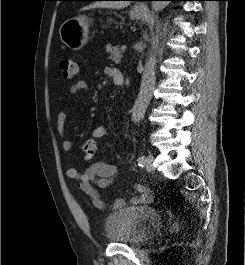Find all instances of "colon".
Listing matches in <instances>:
<instances>
[{
    "mask_svg": "<svg viewBox=\"0 0 245 265\" xmlns=\"http://www.w3.org/2000/svg\"><path fill=\"white\" fill-rule=\"evenodd\" d=\"M60 69L63 75L68 79H73L77 74V64L70 58H64L59 63ZM82 151L84 154V158L86 160H91L94 158L97 146L93 141H86L82 146Z\"/></svg>",
    "mask_w": 245,
    "mask_h": 265,
    "instance_id": "colon-1",
    "label": "colon"
}]
</instances>
